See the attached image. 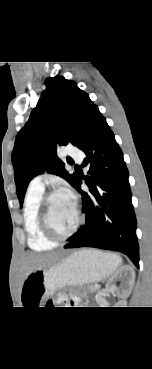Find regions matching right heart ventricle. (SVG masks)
I'll return each mask as SVG.
<instances>
[{
	"label": "right heart ventricle",
	"mask_w": 152,
	"mask_h": 369,
	"mask_svg": "<svg viewBox=\"0 0 152 369\" xmlns=\"http://www.w3.org/2000/svg\"><path fill=\"white\" fill-rule=\"evenodd\" d=\"M43 190L28 188L24 198L23 221L27 235V242L31 249L36 251L49 250L56 242L49 240L43 233L40 221V202Z\"/></svg>",
	"instance_id": "1"
}]
</instances>
